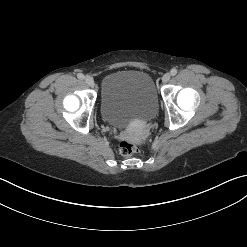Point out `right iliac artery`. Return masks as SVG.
I'll use <instances>...</instances> for the list:
<instances>
[{
  "label": "right iliac artery",
  "instance_id": "1",
  "mask_svg": "<svg viewBox=\"0 0 247 247\" xmlns=\"http://www.w3.org/2000/svg\"><path fill=\"white\" fill-rule=\"evenodd\" d=\"M77 77H78L79 79H81V80L84 79V75H83L82 73H78V74H77Z\"/></svg>",
  "mask_w": 247,
  "mask_h": 247
}]
</instances>
